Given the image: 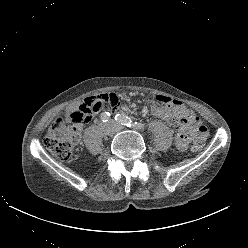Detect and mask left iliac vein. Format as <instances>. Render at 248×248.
<instances>
[{
	"label": "left iliac vein",
	"instance_id": "1",
	"mask_svg": "<svg viewBox=\"0 0 248 248\" xmlns=\"http://www.w3.org/2000/svg\"><path fill=\"white\" fill-rule=\"evenodd\" d=\"M111 124H114L113 122H111ZM122 130V127L121 126H119V125H116V131L118 132V131H121Z\"/></svg>",
	"mask_w": 248,
	"mask_h": 248
}]
</instances>
